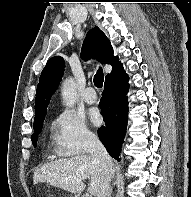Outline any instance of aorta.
I'll list each match as a JSON object with an SVG mask.
<instances>
[{"label":"aorta","instance_id":"762f6f07","mask_svg":"<svg viewBox=\"0 0 191 197\" xmlns=\"http://www.w3.org/2000/svg\"><path fill=\"white\" fill-rule=\"evenodd\" d=\"M63 104L72 107L77 100L76 85L73 78H67L61 88Z\"/></svg>","mask_w":191,"mask_h":197}]
</instances>
